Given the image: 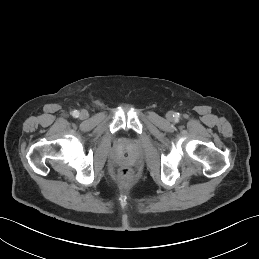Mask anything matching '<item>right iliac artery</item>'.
I'll return each instance as SVG.
<instances>
[{
	"label": "right iliac artery",
	"instance_id": "right-iliac-artery-1",
	"mask_svg": "<svg viewBox=\"0 0 259 259\" xmlns=\"http://www.w3.org/2000/svg\"><path fill=\"white\" fill-rule=\"evenodd\" d=\"M72 116L75 117V118L79 117V112L77 110H74L72 112Z\"/></svg>",
	"mask_w": 259,
	"mask_h": 259
}]
</instances>
